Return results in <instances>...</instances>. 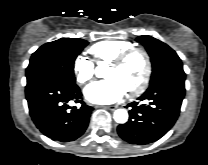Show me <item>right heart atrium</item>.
I'll return each mask as SVG.
<instances>
[{
	"instance_id": "1",
	"label": "right heart atrium",
	"mask_w": 208,
	"mask_h": 165,
	"mask_svg": "<svg viewBox=\"0 0 208 165\" xmlns=\"http://www.w3.org/2000/svg\"><path fill=\"white\" fill-rule=\"evenodd\" d=\"M73 70L76 76V80L80 84L88 83L94 76L93 62L83 55H79L75 58L73 63Z\"/></svg>"
}]
</instances>
